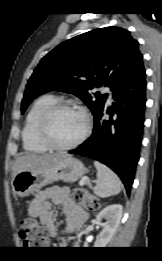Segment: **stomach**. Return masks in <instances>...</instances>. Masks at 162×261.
I'll return each mask as SVG.
<instances>
[{
  "mask_svg": "<svg viewBox=\"0 0 162 261\" xmlns=\"http://www.w3.org/2000/svg\"><path fill=\"white\" fill-rule=\"evenodd\" d=\"M85 172L80 160L65 155L45 169L19 172L12 180V188L18 197H26L55 181L75 182Z\"/></svg>",
  "mask_w": 162,
  "mask_h": 261,
  "instance_id": "1",
  "label": "stomach"
}]
</instances>
